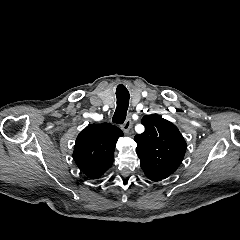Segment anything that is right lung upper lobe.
Returning a JSON list of instances; mask_svg holds the SVG:
<instances>
[{
  "instance_id": "1",
  "label": "right lung upper lobe",
  "mask_w": 240,
  "mask_h": 240,
  "mask_svg": "<svg viewBox=\"0 0 240 240\" xmlns=\"http://www.w3.org/2000/svg\"><path fill=\"white\" fill-rule=\"evenodd\" d=\"M120 136L123 132L108 123L90 124L78 135L73 158L88 178H99L112 166Z\"/></svg>"
}]
</instances>
